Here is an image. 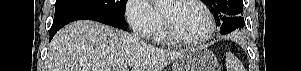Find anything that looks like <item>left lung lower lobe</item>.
Masks as SVG:
<instances>
[{
	"label": "left lung lower lobe",
	"mask_w": 301,
	"mask_h": 71,
	"mask_svg": "<svg viewBox=\"0 0 301 71\" xmlns=\"http://www.w3.org/2000/svg\"><path fill=\"white\" fill-rule=\"evenodd\" d=\"M221 25L220 33L222 35L232 32L235 29H240L244 26V18L240 16H232L226 18L218 26Z\"/></svg>",
	"instance_id": "obj_1"
}]
</instances>
